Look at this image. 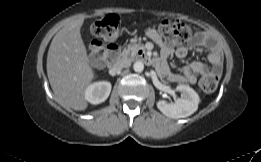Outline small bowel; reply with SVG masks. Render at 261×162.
Listing matches in <instances>:
<instances>
[{
    "label": "small bowel",
    "instance_id": "1",
    "mask_svg": "<svg viewBox=\"0 0 261 162\" xmlns=\"http://www.w3.org/2000/svg\"><path fill=\"white\" fill-rule=\"evenodd\" d=\"M148 37L157 43L161 47L162 58H166L172 53L178 58H184L187 55V47L180 46L175 50L167 46L161 36L155 30H150ZM211 42V38L205 32H198L195 34L191 41V46H206ZM158 60L159 63H164V60ZM210 63V67L200 61H192L183 67V75H179L171 72L166 64L158 67V69L167 76V78L173 82L187 81L191 84H195L197 81V76L200 74H212L219 76L222 72V54L220 48L213 44L210 46V52L207 56Z\"/></svg>",
    "mask_w": 261,
    "mask_h": 162
}]
</instances>
